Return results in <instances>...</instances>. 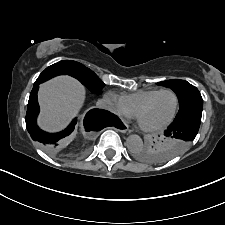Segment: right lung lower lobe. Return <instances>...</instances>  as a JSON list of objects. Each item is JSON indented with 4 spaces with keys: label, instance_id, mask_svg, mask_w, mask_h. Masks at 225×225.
<instances>
[{
    "label": "right lung lower lobe",
    "instance_id": "98d812e1",
    "mask_svg": "<svg viewBox=\"0 0 225 225\" xmlns=\"http://www.w3.org/2000/svg\"><path fill=\"white\" fill-rule=\"evenodd\" d=\"M60 75L56 72L45 73L42 72L34 83L33 89L30 93L27 113H26V127L34 141H37L48 152H53L62 142V139L70 135L75 127L76 119L66 128L59 133H47L42 131L36 124V118L39 113V105L37 101V92L39 85L50 78ZM118 119L114 114L100 109L90 110L84 118V127L87 131L100 130L106 127L107 123L111 120Z\"/></svg>",
    "mask_w": 225,
    "mask_h": 225
}]
</instances>
